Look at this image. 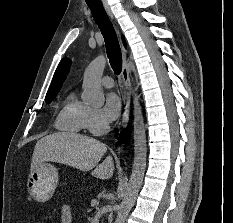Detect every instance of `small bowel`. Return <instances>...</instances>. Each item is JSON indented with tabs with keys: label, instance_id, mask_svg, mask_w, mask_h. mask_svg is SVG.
<instances>
[{
	"label": "small bowel",
	"instance_id": "c3829d8e",
	"mask_svg": "<svg viewBox=\"0 0 233 223\" xmlns=\"http://www.w3.org/2000/svg\"><path fill=\"white\" fill-rule=\"evenodd\" d=\"M60 223H72V211L69 205H65L62 208Z\"/></svg>",
	"mask_w": 233,
	"mask_h": 223
}]
</instances>
